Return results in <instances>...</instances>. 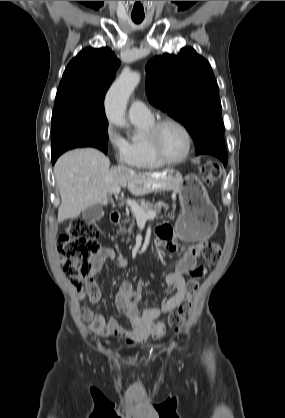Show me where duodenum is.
<instances>
[{"mask_svg":"<svg viewBox=\"0 0 285 418\" xmlns=\"http://www.w3.org/2000/svg\"><path fill=\"white\" fill-rule=\"evenodd\" d=\"M111 221L115 224L121 220V212L119 210H113L110 214Z\"/></svg>","mask_w":285,"mask_h":418,"instance_id":"obj_1","label":"duodenum"}]
</instances>
